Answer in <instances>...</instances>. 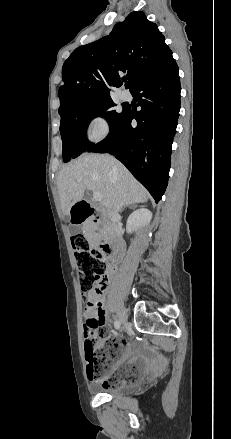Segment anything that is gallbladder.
Wrapping results in <instances>:
<instances>
[{"mask_svg":"<svg viewBox=\"0 0 231 439\" xmlns=\"http://www.w3.org/2000/svg\"><path fill=\"white\" fill-rule=\"evenodd\" d=\"M79 231H80V228L77 227V226H73V227L70 228V233L72 235L77 234Z\"/></svg>","mask_w":231,"mask_h":439,"instance_id":"gallbladder-1","label":"gallbladder"}]
</instances>
